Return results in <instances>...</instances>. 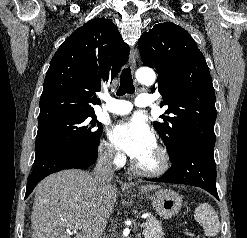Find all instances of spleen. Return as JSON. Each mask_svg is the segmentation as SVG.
<instances>
[{"label": "spleen", "mask_w": 247, "mask_h": 238, "mask_svg": "<svg viewBox=\"0 0 247 238\" xmlns=\"http://www.w3.org/2000/svg\"><path fill=\"white\" fill-rule=\"evenodd\" d=\"M194 218L202 225L206 236L214 237L219 233V218L208 203H201L197 206L194 211Z\"/></svg>", "instance_id": "3e777b00"}]
</instances>
